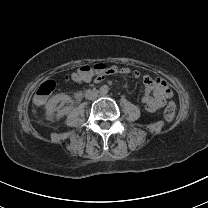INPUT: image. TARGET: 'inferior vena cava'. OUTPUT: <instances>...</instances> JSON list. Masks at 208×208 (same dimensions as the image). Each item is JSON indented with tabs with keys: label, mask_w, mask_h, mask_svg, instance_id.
<instances>
[{
	"label": "inferior vena cava",
	"mask_w": 208,
	"mask_h": 208,
	"mask_svg": "<svg viewBox=\"0 0 208 208\" xmlns=\"http://www.w3.org/2000/svg\"><path fill=\"white\" fill-rule=\"evenodd\" d=\"M85 97L90 100H94L97 98V92L93 90H88L85 94Z\"/></svg>",
	"instance_id": "obj_1"
}]
</instances>
